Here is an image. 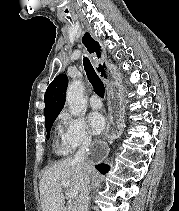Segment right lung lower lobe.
I'll return each instance as SVG.
<instances>
[{"mask_svg":"<svg viewBox=\"0 0 179 211\" xmlns=\"http://www.w3.org/2000/svg\"><path fill=\"white\" fill-rule=\"evenodd\" d=\"M96 168H97L98 171H100L103 174H106L109 170V166L105 165V164L96 165Z\"/></svg>","mask_w":179,"mask_h":211,"instance_id":"1","label":"right lung lower lobe"}]
</instances>
